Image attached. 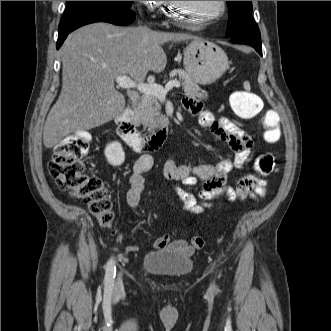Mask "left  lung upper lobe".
Segmentation results:
<instances>
[{
    "instance_id": "5c2ea615",
    "label": "left lung upper lobe",
    "mask_w": 331,
    "mask_h": 331,
    "mask_svg": "<svg viewBox=\"0 0 331 331\" xmlns=\"http://www.w3.org/2000/svg\"><path fill=\"white\" fill-rule=\"evenodd\" d=\"M227 4L229 20L226 35L228 37L260 34L252 18V1H227Z\"/></svg>"
}]
</instances>
